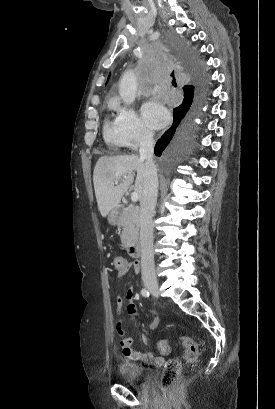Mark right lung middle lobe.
Wrapping results in <instances>:
<instances>
[{"mask_svg": "<svg viewBox=\"0 0 275 409\" xmlns=\"http://www.w3.org/2000/svg\"><path fill=\"white\" fill-rule=\"evenodd\" d=\"M190 45L188 42H170V51H182L180 56L186 58ZM190 59L185 67L187 73H195L196 66L201 64V50H190ZM198 78L199 75H198ZM194 93L192 96L180 106L173 110V124L162 135L156 143L154 153L157 156H162L166 160H154L152 167L161 169L163 173H171L173 167L180 165V160L188 156L193 147L194 123L193 117L197 111L199 97H197L192 105Z\"/></svg>", "mask_w": 275, "mask_h": 409, "instance_id": "right-lung-middle-lobe-1", "label": "right lung middle lobe"}]
</instances>
